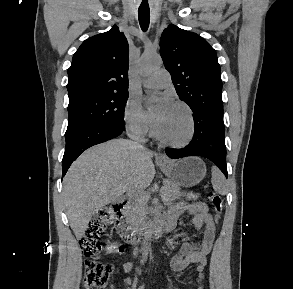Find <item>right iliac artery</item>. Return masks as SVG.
<instances>
[{"label": "right iliac artery", "instance_id": "obj_1", "mask_svg": "<svg viewBox=\"0 0 293 289\" xmlns=\"http://www.w3.org/2000/svg\"><path fill=\"white\" fill-rule=\"evenodd\" d=\"M141 263H142V264L144 263V260H143V259L141 260ZM138 272H139V270H138Z\"/></svg>", "mask_w": 293, "mask_h": 289}]
</instances>
